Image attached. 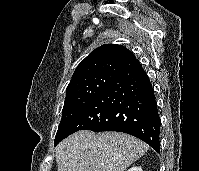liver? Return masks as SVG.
I'll list each match as a JSON object with an SVG mask.
<instances>
[{"label":"liver","mask_w":199,"mask_h":171,"mask_svg":"<svg viewBox=\"0 0 199 171\" xmlns=\"http://www.w3.org/2000/svg\"><path fill=\"white\" fill-rule=\"evenodd\" d=\"M129 134L79 131L56 147L58 171H124L148 150Z\"/></svg>","instance_id":"liver-1"}]
</instances>
